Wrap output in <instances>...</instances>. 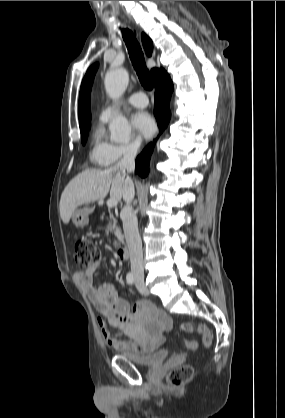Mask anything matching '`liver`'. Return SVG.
<instances>
[{
    "label": "liver",
    "instance_id": "1",
    "mask_svg": "<svg viewBox=\"0 0 285 418\" xmlns=\"http://www.w3.org/2000/svg\"><path fill=\"white\" fill-rule=\"evenodd\" d=\"M125 178L117 175L114 167L105 170L87 169L75 176L65 187L60 199V217L68 224L76 208L104 199L120 201Z\"/></svg>",
    "mask_w": 285,
    "mask_h": 418
}]
</instances>
